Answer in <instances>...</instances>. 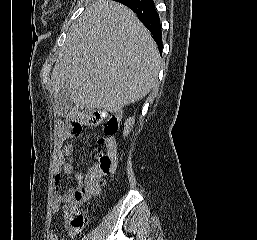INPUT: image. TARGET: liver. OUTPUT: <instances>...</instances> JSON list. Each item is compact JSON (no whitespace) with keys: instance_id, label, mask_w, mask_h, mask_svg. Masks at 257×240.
Wrapping results in <instances>:
<instances>
[{"instance_id":"liver-1","label":"liver","mask_w":257,"mask_h":240,"mask_svg":"<svg viewBox=\"0 0 257 240\" xmlns=\"http://www.w3.org/2000/svg\"><path fill=\"white\" fill-rule=\"evenodd\" d=\"M160 54L150 32L128 7L99 0L72 24L53 68L50 92L71 96L80 109L122 114L157 82Z\"/></svg>"}]
</instances>
